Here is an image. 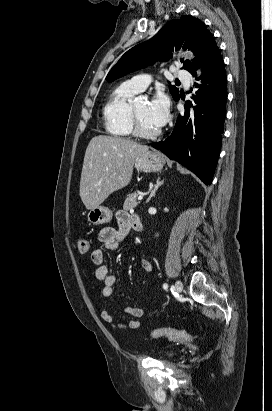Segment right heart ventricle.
<instances>
[{"label": "right heart ventricle", "mask_w": 272, "mask_h": 411, "mask_svg": "<svg viewBox=\"0 0 272 411\" xmlns=\"http://www.w3.org/2000/svg\"><path fill=\"white\" fill-rule=\"evenodd\" d=\"M137 92L129 82H124L108 97L103 107V117L106 130L111 135L117 137L131 136L130 99Z\"/></svg>", "instance_id": "obj_1"}]
</instances>
